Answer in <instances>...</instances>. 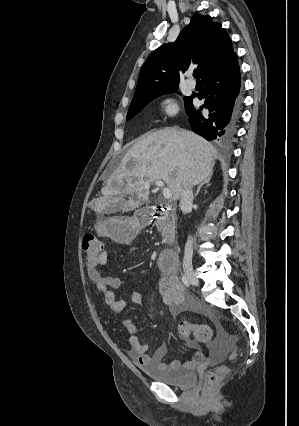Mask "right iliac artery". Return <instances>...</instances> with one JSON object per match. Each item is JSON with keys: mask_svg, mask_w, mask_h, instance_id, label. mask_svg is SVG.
<instances>
[{"mask_svg": "<svg viewBox=\"0 0 299 426\" xmlns=\"http://www.w3.org/2000/svg\"><path fill=\"white\" fill-rule=\"evenodd\" d=\"M181 279H182L183 284H184L186 287H189L190 283H189L188 278H187L185 275H183Z\"/></svg>", "mask_w": 299, "mask_h": 426, "instance_id": "82829eb1", "label": "right iliac artery"}]
</instances>
